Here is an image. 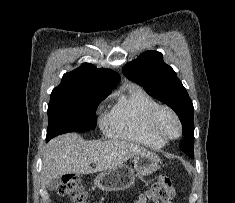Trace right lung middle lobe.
I'll list each match as a JSON object with an SVG mask.
<instances>
[{
    "label": "right lung middle lobe",
    "instance_id": "right-lung-middle-lobe-1",
    "mask_svg": "<svg viewBox=\"0 0 235 203\" xmlns=\"http://www.w3.org/2000/svg\"><path fill=\"white\" fill-rule=\"evenodd\" d=\"M109 93L88 89H56L48 105L46 141L68 132L95 129L96 109Z\"/></svg>",
    "mask_w": 235,
    "mask_h": 203
}]
</instances>
